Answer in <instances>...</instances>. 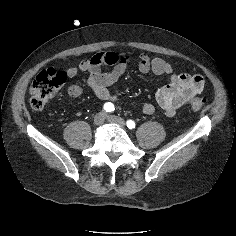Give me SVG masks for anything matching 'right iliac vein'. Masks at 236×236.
<instances>
[{"mask_svg": "<svg viewBox=\"0 0 236 236\" xmlns=\"http://www.w3.org/2000/svg\"><path fill=\"white\" fill-rule=\"evenodd\" d=\"M104 120H105V113L99 112L94 117V124L95 125H102L104 123Z\"/></svg>", "mask_w": 236, "mask_h": 236, "instance_id": "right-iliac-vein-1", "label": "right iliac vein"}]
</instances>
